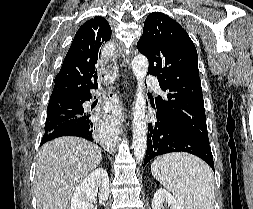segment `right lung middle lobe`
<instances>
[{
	"label": "right lung middle lobe",
	"instance_id": "obj_1",
	"mask_svg": "<svg viewBox=\"0 0 253 209\" xmlns=\"http://www.w3.org/2000/svg\"><path fill=\"white\" fill-rule=\"evenodd\" d=\"M48 115L45 124V129L55 127L69 119L76 118L81 114V111H73L69 107L60 109H47Z\"/></svg>",
	"mask_w": 253,
	"mask_h": 209
}]
</instances>
